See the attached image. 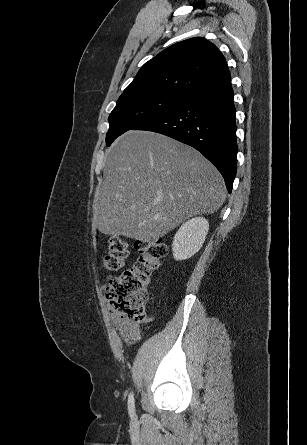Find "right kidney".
Returning a JSON list of instances; mask_svg holds the SVG:
<instances>
[{"label": "right kidney", "instance_id": "ca27d5eb", "mask_svg": "<svg viewBox=\"0 0 307 445\" xmlns=\"http://www.w3.org/2000/svg\"><path fill=\"white\" fill-rule=\"evenodd\" d=\"M208 231L209 223L207 218L197 216V218L187 220V223L180 227L174 237L172 245L174 259L176 261H185V259L193 257L201 249Z\"/></svg>", "mask_w": 307, "mask_h": 445}]
</instances>
